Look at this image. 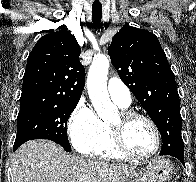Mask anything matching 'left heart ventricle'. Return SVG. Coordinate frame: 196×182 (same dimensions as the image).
<instances>
[{
  "label": "left heart ventricle",
  "mask_w": 196,
  "mask_h": 182,
  "mask_svg": "<svg viewBox=\"0 0 196 182\" xmlns=\"http://www.w3.org/2000/svg\"><path fill=\"white\" fill-rule=\"evenodd\" d=\"M109 124L119 126L121 124L119 115H116ZM124 140L131 151L140 155L150 153L155 147L154 132L143 119H135L124 127Z\"/></svg>",
  "instance_id": "obj_1"
}]
</instances>
